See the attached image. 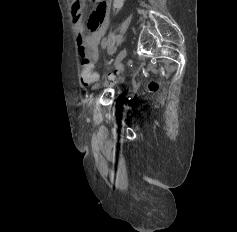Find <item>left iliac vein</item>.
Instances as JSON below:
<instances>
[{
	"mask_svg": "<svg viewBox=\"0 0 237 232\" xmlns=\"http://www.w3.org/2000/svg\"><path fill=\"white\" fill-rule=\"evenodd\" d=\"M126 55H127V50L124 48L123 50L120 51V53L116 57L114 66L120 64L122 62V60L126 57Z\"/></svg>",
	"mask_w": 237,
	"mask_h": 232,
	"instance_id": "obj_1",
	"label": "left iliac vein"
}]
</instances>
